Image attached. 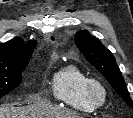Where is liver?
Here are the masks:
<instances>
[{"label": "liver", "instance_id": "obj_1", "mask_svg": "<svg viewBox=\"0 0 133 118\" xmlns=\"http://www.w3.org/2000/svg\"><path fill=\"white\" fill-rule=\"evenodd\" d=\"M0 118H81V116L66 108L49 104H33L26 107L2 105L0 106Z\"/></svg>", "mask_w": 133, "mask_h": 118}]
</instances>
